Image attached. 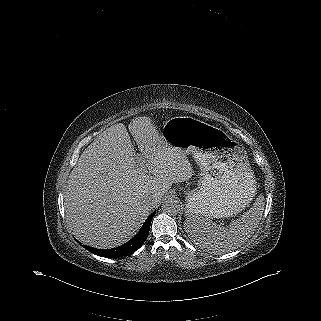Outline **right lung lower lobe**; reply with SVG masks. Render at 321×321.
<instances>
[{
	"mask_svg": "<svg viewBox=\"0 0 321 321\" xmlns=\"http://www.w3.org/2000/svg\"><path fill=\"white\" fill-rule=\"evenodd\" d=\"M155 212H153L144 222L143 226L139 230V232L127 243L117 247L112 248L108 250H102V249H96L89 246L84 247L92 252L95 255L101 256V257H107V258H116V257H122L128 254H131L138 250L143 243L145 242L150 229L151 220L154 217Z\"/></svg>",
	"mask_w": 321,
	"mask_h": 321,
	"instance_id": "obj_1",
	"label": "right lung lower lobe"
}]
</instances>
